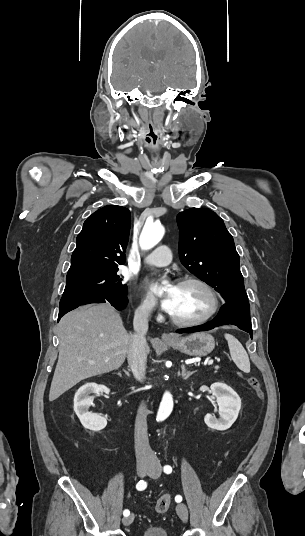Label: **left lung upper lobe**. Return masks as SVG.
<instances>
[{
    "mask_svg": "<svg viewBox=\"0 0 305 536\" xmlns=\"http://www.w3.org/2000/svg\"><path fill=\"white\" fill-rule=\"evenodd\" d=\"M179 257L193 274L213 286L226 303L248 301L240 258L223 220L207 208H191L177 215Z\"/></svg>",
    "mask_w": 305,
    "mask_h": 536,
    "instance_id": "5c2ea615",
    "label": "left lung upper lobe"
}]
</instances>
